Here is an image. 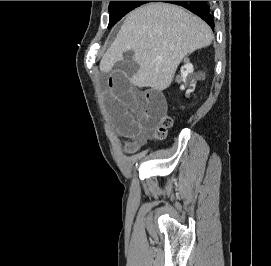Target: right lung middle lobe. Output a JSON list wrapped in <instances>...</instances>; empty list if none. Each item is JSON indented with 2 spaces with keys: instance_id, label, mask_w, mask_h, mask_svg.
<instances>
[{
  "instance_id": "right-lung-middle-lobe-1",
  "label": "right lung middle lobe",
  "mask_w": 271,
  "mask_h": 266,
  "mask_svg": "<svg viewBox=\"0 0 271 266\" xmlns=\"http://www.w3.org/2000/svg\"><path fill=\"white\" fill-rule=\"evenodd\" d=\"M148 2L153 1H111L109 5L108 29L114 26L128 12Z\"/></svg>"
}]
</instances>
